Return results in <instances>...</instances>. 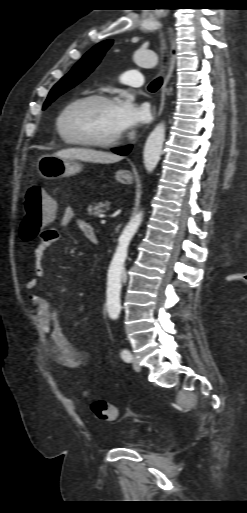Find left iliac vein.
<instances>
[{
    "label": "left iliac vein",
    "mask_w": 247,
    "mask_h": 513,
    "mask_svg": "<svg viewBox=\"0 0 247 513\" xmlns=\"http://www.w3.org/2000/svg\"><path fill=\"white\" fill-rule=\"evenodd\" d=\"M132 366H133V369L136 371V372H140L141 371V366L138 362V360L133 356L132 358Z\"/></svg>",
    "instance_id": "obj_1"
}]
</instances>
